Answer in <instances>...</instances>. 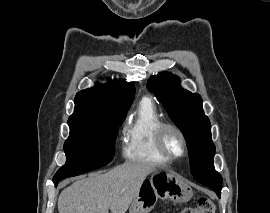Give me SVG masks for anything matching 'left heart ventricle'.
<instances>
[{"label": "left heart ventricle", "instance_id": "1", "mask_svg": "<svg viewBox=\"0 0 270 213\" xmlns=\"http://www.w3.org/2000/svg\"><path fill=\"white\" fill-rule=\"evenodd\" d=\"M166 146L173 154H179L182 151V142L175 132H168L166 136Z\"/></svg>", "mask_w": 270, "mask_h": 213}]
</instances>
